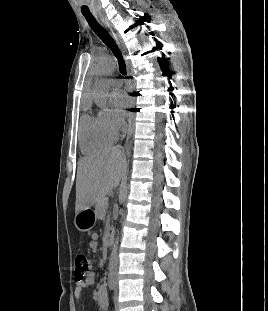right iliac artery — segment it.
I'll list each match as a JSON object with an SVG mask.
<instances>
[{"label":"right iliac artery","mask_w":268,"mask_h":311,"mask_svg":"<svg viewBox=\"0 0 268 311\" xmlns=\"http://www.w3.org/2000/svg\"><path fill=\"white\" fill-rule=\"evenodd\" d=\"M108 286H109V289H110V290H113L114 287H115V282H114V280L110 279V280L108 281Z\"/></svg>","instance_id":"1"}]
</instances>
